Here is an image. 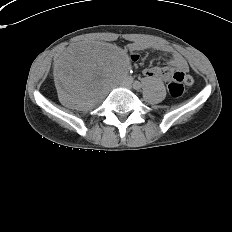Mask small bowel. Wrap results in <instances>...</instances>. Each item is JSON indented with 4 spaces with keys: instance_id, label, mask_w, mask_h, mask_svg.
<instances>
[{
    "instance_id": "c3829d8e",
    "label": "small bowel",
    "mask_w": 232,
    "mask_h": 232,
    "mask_svg": "<svg viewBox=\"0 0 232 232\" xmlns=\"http://www.w3.org/2000/svg\"><path fill=\"white\" fill-rule=\"evenodd\" d=\"M148 46L149 43L145 41H134L133 43H131L129 45V50L132 53L129 55V60L133 64H138L141 61V56L135 51L142 50ZM165 50L172 52L173 54L172 65L174 66L176 71H179L181 73L174 74L170 68L165 67L160 69H147L144 71L145 77L147 78L159 77L161 79L168 80L173 78L175 75H179V74L183 75V72L186 71V63L183 60V58L176 51H174L169 47H165Z\"/></svg>"
}]
</instances>
